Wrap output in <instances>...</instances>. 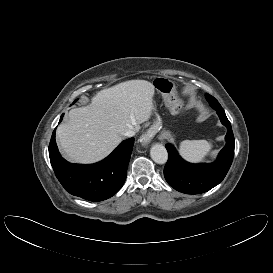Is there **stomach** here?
Here are the masks:
<instances>
[{"label":"stomach","mask_w":273,"mask_h":273,"mask_svg":"<svg viewBox=\"0 0 273 273\" xmlns=\"http://www.w3.org/2000/svg\"><path fill=\"white\" fill-rule=\"evenodd\" d=\"M154 84L157 91L164 98H170L176 92L175 84L168 78L158 77L155 79ZM153 127L158 130L162 127V120L159 115H157L156 120L154 121Z\"/></svg>","instance_id":"0dacf381"}]
</instances>
